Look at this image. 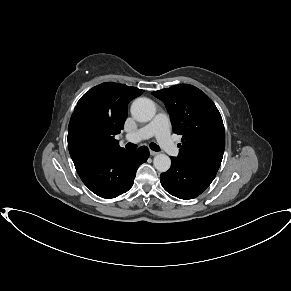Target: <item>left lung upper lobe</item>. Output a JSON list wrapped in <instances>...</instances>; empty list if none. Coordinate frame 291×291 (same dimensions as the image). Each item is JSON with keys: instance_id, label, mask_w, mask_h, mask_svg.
<instances>
[{"instance_id": "1", "label": "left lung upper lobe", "mask_w": 291, "mask_h": 291, "mask_svg": "<svg viewBox=\"0 0 291 291\" xmlns=\"http://www.w3.org/2000/svg\"><path fill=\"white\" fill-rule=\"evenodd\" d=\"M152 94L164 102L173 132L182 135L176 158L197 171L216 175L224 154L225 130L212 100L189 84Z\"/></svg>"}]
</instances>
